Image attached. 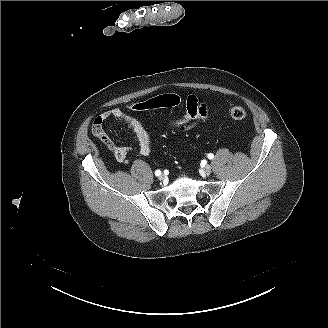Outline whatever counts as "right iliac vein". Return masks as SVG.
Wrapping results in <instances>:
<instances>
[{
	"label": "right iliac vein",
	"instance_id": "63e3f726",
	"mask_svg": "<svg viewBox=\"0 0 328 328\" xmlns=\"http://www.w3.org/2000/svg\"><path fill=\"white\" fill-rule=\"evenodd\" d=\"M158 178H159L160 181L165 180V176H164L163 174H160V175L158 176Z\"/></svg>",
	"mask_w": 328,
	"mask_h": 328
}]
</instances>
